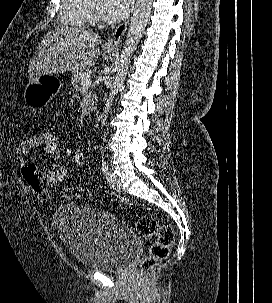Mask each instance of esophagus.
<instances>
[{"mask_svg": "<svg viewBox=\"0 0 272 303\" xmlns=\"http://www.w3.org/2000/svg\"><path fill=\"white\" fill-rule=\"evenodd\" d=\"M128 24H129V19H127L125 22L119 24L113 31L111 37L109 39H107V41L105 42V45L107 47H118L127 30Z\"/></svg>", "mask_w": 272, "mask_h": 303, "instance_id": "1", "label": "esophagus"}]
</instances>
